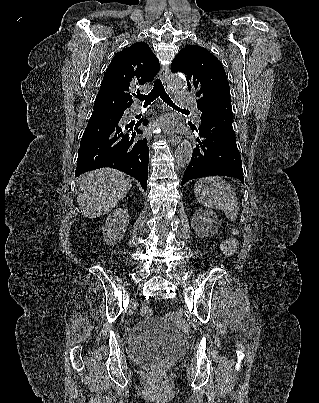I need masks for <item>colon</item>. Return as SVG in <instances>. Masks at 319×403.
I'll return each instance as SVG.
<instances>
[{"instance_id": "colon-1", "label": "colon", "mask_w": 319, "mask_h": 403, "mask_svg": "<svg viewBox=\"0 0 319 403\" xmlns=\"http://www.w3.org/2000/svg\"><path fill=\"white\" fill-rule=\"evenodd\" d=\"M236 246H237L236 241L233 239H229L222 244V250L226 254H231L235 251ZM141 315L143 317H150L153 315V310L148 306H143L141 308ZM154 374L159 382H164L166 380V373L163 369L156 368Z\"/></svg>"}]
</instances>
